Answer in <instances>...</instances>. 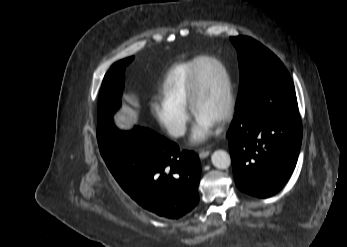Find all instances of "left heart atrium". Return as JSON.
I'll return each instance as SVG.
<instances>
[{
  "instance_id": "obj_1",
  "label": "left heart atrium",
  "mask_w": 347,
  "mask_h": 247,
  "mask_svg": "<svg viewBox=\"0 0 347 247\" xmlns=\"http://www.w3.org/2000/svg\"><path fill=\"white\" fill-rule=\"evenodd\" d=\"M216 125V121L202 117L196 116V124L192 132V141L195 143H200L206 141Z\"/></svg>"
}]
</instances>
